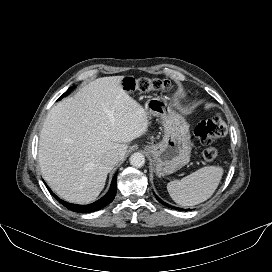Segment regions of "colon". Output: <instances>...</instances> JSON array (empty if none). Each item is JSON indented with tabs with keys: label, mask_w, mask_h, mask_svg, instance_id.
I'll list each match as a JSON object with an SVG mask.
<instances>
[{
	"label": "colon",
	"mask_w": 272,
	"mask_h": 272,
	"mask_svg": "<svg viewBox=\"0 0 272 272\" xmlns=\"http://www.w3.org/2000/svg\"><path fill=\"white\" fill-rule=\"evenodd\" d=\"M124 89L128 92L149 93V92H169L172 90V85L167 80L158 78L128 77L123 82ZM227 126L220 115H215L208 120L200 122L194 134L196 138L203 144H210L215 140L223 137L226 134ZM219 154L216 147L209 146L204 152V159L208 162L214 161Z\"/></svg>",
	"instance_id": "5ec220e1"
}]
</instances>
